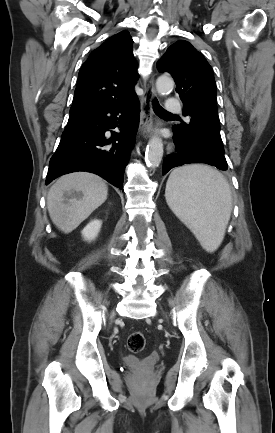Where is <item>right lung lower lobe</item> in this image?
Masks as SVG:
<instances>
[{"mask_svg":"<svg viewBox=\"0 0 275 433\" xmlns=\"http://www.w3.org/2000/svg\"><path fill=\"white\" fill-rule=\"evenodd\" d=\"M137 96L101 104L70 116L59 146L49 164L46 184L76 171L95 173L123 189V173L139 125ZM115 127L120 132L109 136Z\"/></svg>","mask_w":275,"mask_h":433,"instance_id":"obj_1","label":"right lung lower lobe"}]
</instances>
